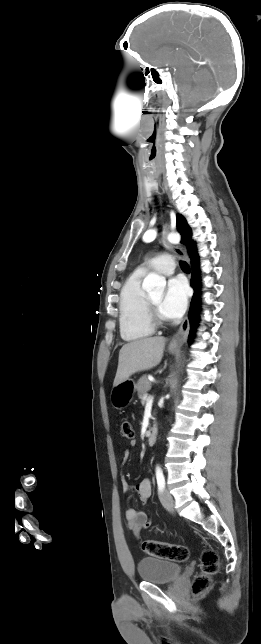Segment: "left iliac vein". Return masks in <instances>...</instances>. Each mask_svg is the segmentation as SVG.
<instances>
[{"instance_id": "4c4485c4", "label": "left iliac vein", "mask_w": 261, "mask_h": 644, "mask_svg": "<svg viewBox=\"0 0 261 644\" xmlns=\"http://www.w3.org/2000/svg\"><path fill=\"white\" fill-rule=\"evenodd\" d=\"M159 498L164 508H166L169 511H173L174 499L168 490L161 491Z\"/></svg>"}]
</instances>
